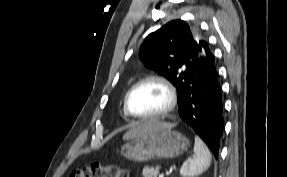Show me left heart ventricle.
Instances as JSON below:
<instances>
[{
    "label": "left heart ventricle",
    "mask_w": 287,
    "mask_h": 177,
    "mask_svg": "<svg viewBox=\"0 0 287 177\" xmlns=\"http://www.w3.org/2000/svg\"><path fill=\"white\" fill-rule=\"evenodd\" d=\"M168 103L164 87L149 82L138 87L130 99V108L138 115H148L161 111Z\"/></svg>",
    "instance_id": "obj_1"
}]
</instances>
